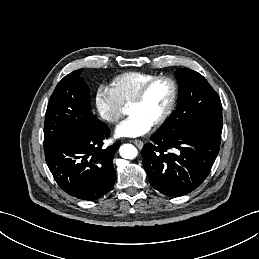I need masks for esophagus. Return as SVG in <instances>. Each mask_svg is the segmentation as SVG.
I'll list each match as a JSON object with an SVG mask.
<instances>
[{
    "label": "esophagus",
    "instance_id": "34e87169",
    "mask_svg": "<svg viewBox=\"0 0 259 259\" xmlns=\"http://www.w3.org/2000/svg\"><path fill=\"white\" fill-rule=\"evenodd\" d=\"M131 142H133L139 149H141L144 145L141 140H132Z\"/></svg>",
    "mask_w": 259,
    "mask_h": 259
}]
</instances>
